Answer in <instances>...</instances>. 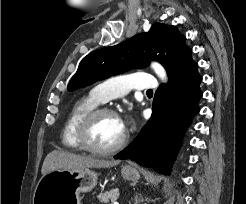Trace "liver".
<instances>
[{
  "instance_id": "6515ba94",
  "label": "liver",
  "mask_w": 246,
  "mask_h": 204,
  "mask_svg": "<svg viewBox=\"0 0 246 204\" xmlns=\"http://www.w3.org/2000/svg\"><path fill=\"white\" fill-rule=\"evenodd\" d=\"M119 163V160H102L66 151L54 150L46 156L42 165L41 173L42 175H45L58 169L110 168L118 165Z\"/></svg>"
}]
</instances>
